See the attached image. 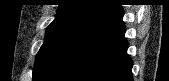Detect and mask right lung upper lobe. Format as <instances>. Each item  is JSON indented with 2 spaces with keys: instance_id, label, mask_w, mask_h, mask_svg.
Returning a JSON list of instances; mask_svg holds the SVG:
<instances>
[{
  "instance_id": "obj_1",
  "label": "right lung upper lobe",
  "mask_w": 169,
  "mask_h": 81,
  "mask_svg": "<svg viewBox=\"0 0 169 81\" xmlns=\"http://www.w3.org/2000/svg\"><path fill=\"white\" fill-rule=\"evenodd\" d=\"M120 7L111 0H64L59 5L56 19L80 18L90 22Z\"/></svg>"
}]
</instances>
